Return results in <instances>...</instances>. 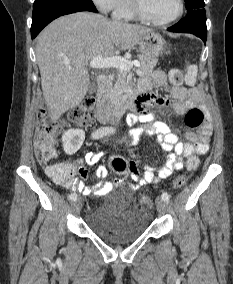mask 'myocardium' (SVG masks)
Returning a JSON list of instances; mask_svg holds the SVG:
<instances>
[{"mask_svg": "<svg viewBox=\"0 0 233 284\" xmlns=\"http://www.w3.org/2000/svg\"><path fill=\"white\" fill-rule=\"evenodd\" d=\"M178 2V9L176 13L169 19L164 21L155 20L152 17H150L144 7L142 0H131V6L134 14L139 18L140 20L155 25V26H166L169 24H172L173 22L177 21L184 12V1L183 0H177Z\"/></svg>", "mask_w": 233, "mask_h": 284, "instance_id": "1", "label": "myocardium"}]
</instances>
